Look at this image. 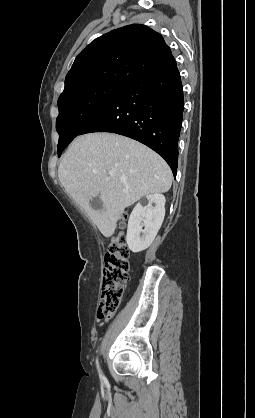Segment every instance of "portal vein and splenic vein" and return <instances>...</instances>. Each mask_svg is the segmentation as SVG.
Here are the masks:
<instances>
[{
	"instance_id": "portal-vein-and-splenic-vein-1",
	"label": "portal vein and splenic vein",
	"mask_w": 255,
	"mask_h": 418,
	"mask_svg": "<svg viewBox=\"0 0 255 418\" xmlns=\"http://www.w3.org/2000/svg\"><path fill=\"white\" fill-rule=\"evenodd\" d=\"M109 174H110V176H113V172H110Z\"/></svg>"
}]
</instances>
